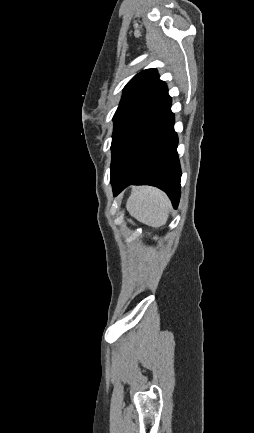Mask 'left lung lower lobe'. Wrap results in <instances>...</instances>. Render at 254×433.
<instances>
[{"instance_id":"obj_1","label":"left lung lower lobe","mask_w":254,"mask_h":433,"mask_svg":"<svg viewBox=\"0 0 254 433\" xmlns=\"http://www.w3.org/2000/svg\"><path fill=\"white\" fill-rule=\"evenodd\" d=\"M173 125L168 95L137 132L120 166L111 176L114 196L131 184L152 185L167 193L174 208L178 206L181 169Z\"/></svg>"}]
</instances>
